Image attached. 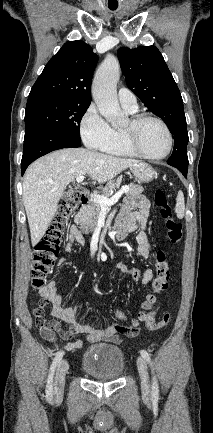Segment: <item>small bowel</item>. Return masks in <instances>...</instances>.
Returning <instances> with one entry per match:
<instances>
[{
    "label": "small bowel",
    "instance_id": "1",
    "mask_svg": "<svg viewBox=\"0 0 213 433\" xmlns=\"http://www.w3.org/2000/svg\"><path fill=\"white\" fill-rule=\"evenodd\" d=\"M150 212V203L144 196H137L126 199L116 221V226H126L131 231L140 228L137 234V251L144 258H149L152 253V246L147 233V219ZM85 244V239L80 230L72 225L67 234L64 249L68 253L73 252V244ZM60 265L68 264L67 259H61ZM115 269L124 276H129L142 286H148L153 278L152 268H147L141 272L137 268L128 267L124 263H117ZM40 296L51 304L52 316L57 320L65 321L69 324V331H59L58 324L55 320H50L47 328H40L42 337L50 342L56 340V332L59 331L64 337L72 334L84 335L83 339L74 342H69L63 346L67 351H72L85 347L87 344H92L102 340L118 343L120 338L116 335V330L113 327L97 328L89 324L80 323L76 319V308L73 306L64 305L61 295L53 281L48 282L39 290ZM155 311L152 312L154 317ZM125 317L123 315L122 319Z\"/></svg>",
    "mask_w": 213,
    "mask_h": 433
}]
</instances>
